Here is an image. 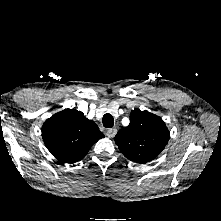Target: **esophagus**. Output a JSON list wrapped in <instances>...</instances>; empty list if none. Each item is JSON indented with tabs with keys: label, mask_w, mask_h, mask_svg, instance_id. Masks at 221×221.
Listing matches in <instances>:
<instances>
[{
	"label": "esophagus",
	"mask_w": 221,
	"mask_h": 221,
	"mask_svg": "<svg viewBox=\"0 0 221 221\" xmlns=\"http://www.w3.org/2000/svg\"><path fill=\"white\" fill-rule=\"evenodd\" d=\"M116 133H117V129H115V128L108 129L106 131V135L108 138H113L116 135Z\"/></svg>",
	"instance_id": "obj_1"
}]
</instances>
